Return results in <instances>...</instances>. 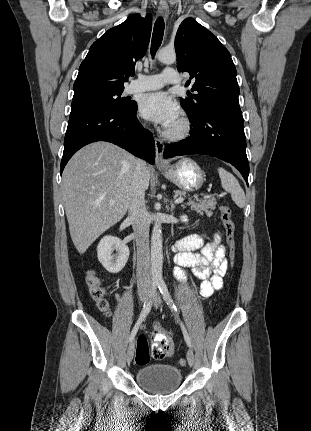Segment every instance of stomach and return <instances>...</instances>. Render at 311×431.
Segmentation results:
<instances>
[{
    "instance_id": "1",
    "label": "stomach",
    "mask_w": 311,
    "mask_h": 431,
    "mask_svg": "<svg viewBox=\"0 0 311 431\" xmlns=\"http://www.w3.org/2000/svg\"><path fill=\"white\" fill-rule=\"evenodd\" d=\"M161 174L183 192H196L202 188L204 174L198 164L190 158H181L169 168H158Z\"/></svg>"
}]
</instances>
